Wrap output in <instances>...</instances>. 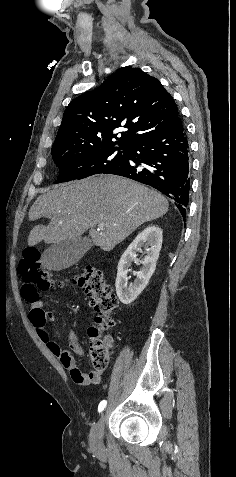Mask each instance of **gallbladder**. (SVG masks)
<instances>
[{"label": "gallbladder", "instance_id": "1", "mask_svg": "<svg viewBox=\"0 0 236 477\" xmlns=\"http://www.w3.org/2000/svg\"><path fill=\"white\" fill-rule=\"evenodd\" d=\"M92 240L88 237H76L55 243L42 254L45 267L59 271L77 263L92 247Z\"/></svg>", "mask_w": 236, "mask_h": 477}]
</instances>
